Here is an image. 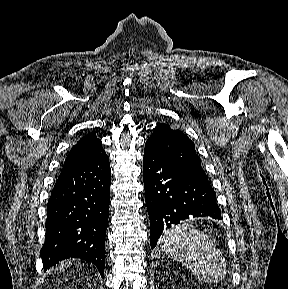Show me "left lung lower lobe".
Returning a JSON list of instances; mask_svg holds the SVG:
<instances>
[{"instance_id":"0a47b994","label":"left lung lower lobe","mask_w":288,"mask_h":289,"mask_svg":"<svg viewBox=\"0 0 288 289\" xmlns=\"http://www.w3.org/2000/svg\"><path fill=\"white\" fill-rule=\"evenodd\" d=\"M143 179L151 248L167 228L190 216L221 220L208 179L172 162L150 141L145 144Z\"/></svg>"}]
</instances>
